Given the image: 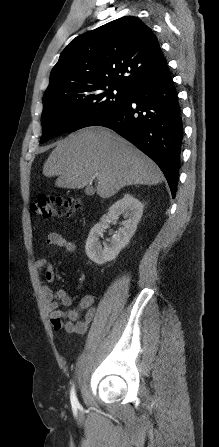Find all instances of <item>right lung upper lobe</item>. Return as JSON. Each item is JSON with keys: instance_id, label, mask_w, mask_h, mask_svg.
<instances>
[{"instance_id": "cb5924a9", "label": "right lung upper lobe", "mask_w": 219, "mask_h": 447, "mask_svg": "<svg viewBox=\"0 0 219 447\" xmlns=\"http://www.w3.org/2000/svg\"><path fill=\"white\" fill-rule=\"evenodd\" d=\"M168 70L152 30L140 19L126 16L73 39L53 67L43 97L87 93L104 85L133 92Z\"/></svg>"}]
</instances>
